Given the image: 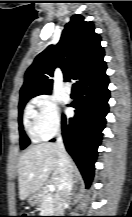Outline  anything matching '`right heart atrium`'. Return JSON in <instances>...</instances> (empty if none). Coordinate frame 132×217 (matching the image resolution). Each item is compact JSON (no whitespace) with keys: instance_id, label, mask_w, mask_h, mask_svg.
Segmentation results:
<instances>
[{"instance_id":"right-heart-atrium-1","label":"right heart atrium","mask_w":132,"mask_h":217,"mask_svg":"<svg viewBox=\"0 0 132 217\" xmlns=\"http://www.w3.org/2000/svg\"><path fill=\"white\" fill-rule=\"evenodd\" d=\"M37 108L36 128L38 137L48 139L54 136L61 127L60 106L51 94H41L33 99Z\"/></svg>"}]
</instances>
